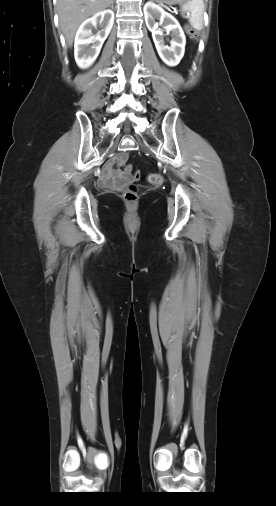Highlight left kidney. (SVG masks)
<instances>
[{
  "label": "left kidney",
  "mask_w": 276,
  "mask_h": 506,
  "mask_svg": "<svg viewBox=\"0 0 276 506\" xmlns=\"http://www.w3.org/2000/svg\"><path fill=\"white\" fill-rule=\"evenodd\" d=\"M145 23L152 38L160 58L169 66H176L183 58L185 52L186 38L178 21L169 13L165 12L161 7L152 2L144 5ZM158 19L160 23L165 24L167 32H171L172 40L170 47L165 45L163 32L158 28Z\"/></svg>",
  "instance_id": "5707ae66"
}]
</instances>
